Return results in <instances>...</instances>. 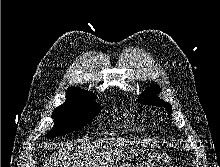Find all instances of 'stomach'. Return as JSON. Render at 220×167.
<instances>
[{"mask_svg": "<svg viewBox=\"0 0 220 167\" xmlns=\"http://www.w3.org/2000/svg\"><path fill=\"white\" fill-rule=\"evenodd\" d=\"M113 167H171L159 145L143 141L126 144Z\"/></svg>", "mask_w": 220, "mask_h": 167, "instance_id": "0dacf381", "label": "stomach"}]
</instances>
